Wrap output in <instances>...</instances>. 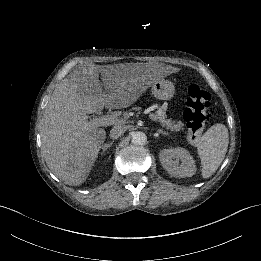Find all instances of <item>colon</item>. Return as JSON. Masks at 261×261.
<instances>
[{
  "label": "colon",
  "instance_id": "5ec220e1",
  "mask_svg": "<svg viewBox=\"0 0 261 261\" xmlns=\"http://www.w3.org/2000/svg\"><path fill=\"white\" fill-rule=\"evenodd\" d=\"M211 94L198 85L191 84L187 89L186 109L184 120L188 136L198 138L211 119Z\"/></svg>",
  "mask_w": 261,
  "mask_h": 261
}]
</instances>
